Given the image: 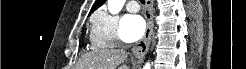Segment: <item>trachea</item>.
<instances>
[{
  "mask_svg": "<svg viewBox=\"0 0 246 69\" xmlns=\"http://www.w3.org/2000/svg\"><path fill=\"white\" fill-rule=\"evenodd\" d=\"M140 2H141L142 4H145V0H140Z\"/></svg>",
  "mask_w": 246,
  "mask_h": 69,
  "instance_id": "obj_1",
  "label": "trachea"
}]
</instances>
